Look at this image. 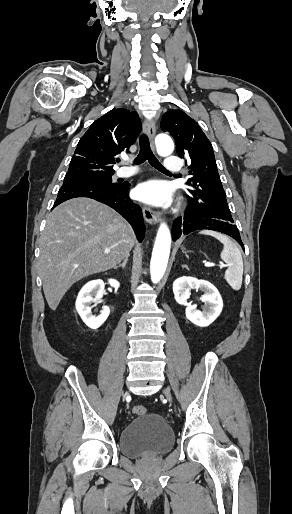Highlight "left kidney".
<instances>
[{"mask_svg": "<svg viewBox=\"0 0 292 514\" xmlns=\"http://www.w3.org/2000/svg\"><path fill=\"white\" fill-rule=\"evenodd\" d=\"M198 288H200L202 292H205L204 296L201 298L202 302L205 304V308H203V312H201V310H197L196 306H187L186 318H188L192 324H195V326L206 328V326H210L222 312L223 302L217 288H215L213 284H210V282H206V280L187 278V276L178 278L173 284V292L178 304H186L189 296H191L190 290H198Z\"/></svg>", "mask_w": 292, "mask_h": 514, "instance_id": "obj_1", "label": "left kidney"}]
</instances>
